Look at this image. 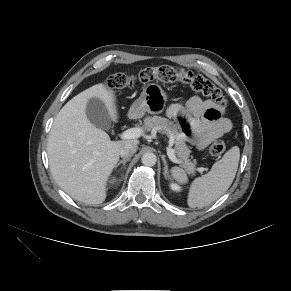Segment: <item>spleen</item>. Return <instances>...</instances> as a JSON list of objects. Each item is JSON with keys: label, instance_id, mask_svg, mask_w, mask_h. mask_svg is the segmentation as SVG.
<instances>
[{"label": "spleen", "instance_id": "3e777b00", "mask_svg": "<svg viewBox=\"0 0 291 291\" xmlns=\"http://www.w3.org/2000/svg\"><path fill=\"white\" fill-rule=\"evenodd\" d=\"M239 158L240 149L234 146L213 164L207 174L194 179L188 193V206L202 208L219 199L229 189L235 178ZM171 173L178 182L187 183L188 177L183 169L173 167Z\"/></svg>", "mask_w": 291, "mask_h": 291}]
</instances>
